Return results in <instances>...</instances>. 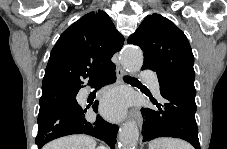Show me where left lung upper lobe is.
<instances>
[{
	"label": "left lung upper lobe",
	"instance_id": "1",
	"mask_svg": "<svg viewBox=\"0 0 227 149\" xmlns=\"http://www.w3.org/2000/svg\"><path fill=\"white\" fill-rule=\"evenodd\" d=\"M128 43L143 50L142 68L155 71L168 85L196 95L192 49L185 34L169 19L160 14L148 15L129 36Z\"/></svg>",
	"mask_w": 227,
	"mask_h": 149
}]
</instances>
